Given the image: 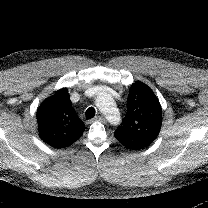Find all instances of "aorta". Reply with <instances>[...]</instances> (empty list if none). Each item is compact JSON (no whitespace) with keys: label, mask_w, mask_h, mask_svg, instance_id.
I'll list each match as a JSON object with an SVG mask.
<instances>
[{"label":"aorta","mask_w":208,"mask_h":208,"mask_svg":"<svg viewBox=\"0 0 208 208\" xmlns=\"http://www.w3.org/2000/svg\"><path fill=\"white\" fill-rule=\"evenodd\" d=\"M96 106L111 122L120 119L119 110L116 107L113 98L105 90L99 91L96 97Z\"/></svg>","instance_id":"762f6f07"}]
</instances>
